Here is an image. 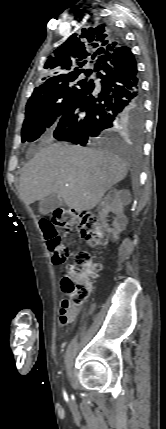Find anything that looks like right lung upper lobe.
Returning a JSON list of instances; mask_svg holds the SVG:
<instances>
[{
  "instance_id": "1",
  "label": "right lung upper lobe",
  "mask_w": 166,
  "mask_h": 429,
  "mask_svg": "<svg viewBox=\"0 0 166 429\" xmlns=\"http://www.w3.org/2000/svg\"><path fill=\"white\" fill-rule=\"evenodd\" d=\"M121 46L113 32L104 28H87L79 34L71 35L47 58L42 74L43 82L33 93L44 91L52 85L75 75L91 74V69L83 67L88 62L94 64L103 54L113 53Z\"/></svg>"
}]
</instances>
